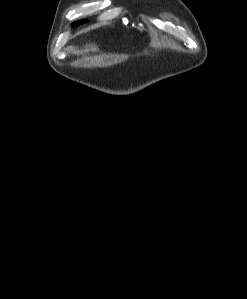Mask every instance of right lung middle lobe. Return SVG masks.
<instances>
[{
	"instance_id": "right-lung-middle-lobe-1",
	"label": "right lung middle lobe",
	"mask_w": 247,
	"mask_h": 299,
	"mask_svg": "<svg viewBox=\"0 0 247 299\" xmlns=\"http://www.w3.org/2000/svg\"><path fill=\"white\" fill-rule=\"evenodd\" d=\"M85 22H86L85 20L77 21L74 23V26L85 23Z\"/></svg>"
}]
</instances>
